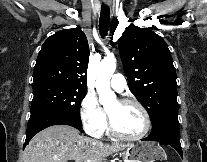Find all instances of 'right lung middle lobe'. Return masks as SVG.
<instances>
[{"mask_svg": "<svg viewBox=\"0 0 207 162\" xmlns=\"http://www.w3.org/2000/svg\"><path fill=\"white\" fill-rule=\"evenodd\" d=\"M31 113L38 110H56L80 119V105L86 90L60 86L44 85L33 88Z\"/></svg>", "mask_w": 207, "mask_h": 162, "instance_id": "dd1d6c3e", "label": "right lung middle lobe"}]
</instances>
